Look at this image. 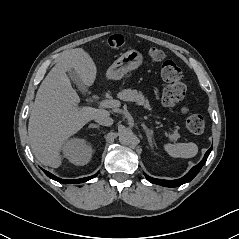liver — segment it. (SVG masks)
<instances>
[{"mask_svg":"<svg viewBox=\"0 0 239 239\" xmlns=\"http://www.w3.org/2000/svg\"><path fill=\"white\" fill-rule=\"evenodd\" d=\"M74 70L84 86H91L97 68L82 48L66 51L42 81L30 113L28 135L37 160L57 168L62 164L60 152L66 140L102 111L92 107L77 108L79 96L67 72Z\"/></svg>","mask_w":239,"mask_h":239,"instance_id":"liver-1","label":"liver"}]
</instances>
